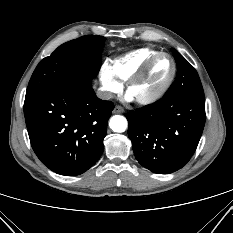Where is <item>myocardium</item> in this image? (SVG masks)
<instances>
[{"instance_id": "myocardium-1", "label": "myocardium", "mask_w": 233, "mask_h": 233, "mask_svg": "<svg viewBox=\"0 0 233 233\" xmlns=\"http://www.w3.org/2000/svg\"><path fill=\"white\" fill-rule=\"evenodd\" d=\"M161 57H166L170 60V62L172 63V72L170 76L168 77V79L153 93L145 97L136 98L135 101L139 104L148 105V104H152L156 102L167 92V90L171 87L172 83L174 82V79L177 73L176 62L170 54L160 52L156 54L155 56H153L149 61H147L146 64L137 73H135L131 78L127 80V83H126L127 92H129L135 84L142 81L148 75L153 65Z\"/></svg>"}]
</instances>
